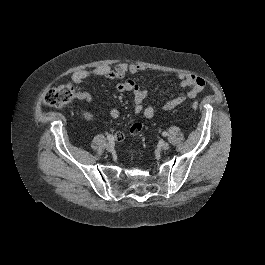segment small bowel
I'll return each instance as SVG.
<instances>
[{
  "label": "small bowel",
  "instance_id": "1",
  "mask_svg": "<svg viewBox=\"0 0 265 265\" xmlns=\"http://www.w3.org/2000/svg\"><path fill=\"white\" fill-rule=\"evenodd\" d=\"M145 70V67L136 63H119L115 66L110 65H101L92 69H83L78 70L71 74L70 78L74 83H81L88 77L99 76L105 77L108 79H117L119 80L116 89L120 92L131 91L134 97V112L136 114H143L144 117L150 119L155 115V107L151 104L145 105L144 102L148 96L147 91L142 89L137 83L129 78H125L127 74H136ZM177 78L180 80V83L184 87H189L185 95H180L165 101L162 105V109L165 111L172 110L187 99H193L203 90L205 86V81L190 73L180 72L177 74ZM81 98L87 99V94H80ZM109 115L113 119H117L120 115V112L117 108H112L109 111ZM142 129L141 123H135L131 126L128 133L118 132L116 133V138L119 141L126 139L128 135L137 134Z\"/></svg>",
  "mask_w": 265,
  "mask_h": 265
}]
</instances>
